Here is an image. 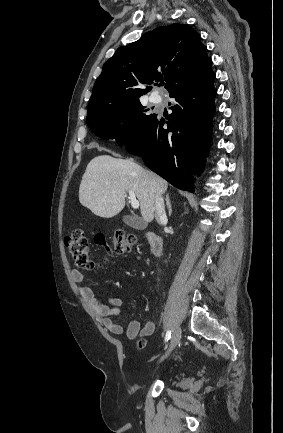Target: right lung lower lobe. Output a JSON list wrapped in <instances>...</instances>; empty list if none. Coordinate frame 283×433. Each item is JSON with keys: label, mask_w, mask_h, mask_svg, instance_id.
I'll use <instances>...</instances> for the list:
<instances>
[{"label": "right lung lower lobe", "mask_w": 283, "mask_h": 433, "mask_svg": "<svg viewBox=\"0 0 283 433\" xmlns=\"http://www.w3.org/2000/svg\"><path fill=\"white\" fill-rule=\"evenodd\" d=\"M215 74L189 88L170 93L176 103L170 120L158 115L148 130L126 149L143 158L155 173L175 187L193 192L192 178L200 174L208 155L215 112ZM167 123L168 129L163 125Z\"/></svg>", "instance_id": "obj_1"}]
</instances>
